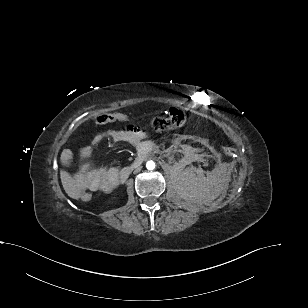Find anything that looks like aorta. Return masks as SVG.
Returning a JSON list of instances; mask_svg holds the SVG:
<instances>
[{
	"label": "aorta",
	"instance_id": "obj_1",
	"mask_svg": "<svg viewBox=\"0 0 308 308\" xmlns=\"http://www.w3.org/2000/svg\"><path fill=\"white\" fill-rule=\"evenodd\" d=\"M146 167L148 170H153L155 168V163L153 161H148Z\"/></svg>",
	"mask_w": 308,
	"mask_h": 308
}]
</instances>
